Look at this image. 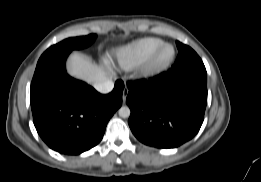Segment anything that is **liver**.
Masks as SVG:
<instances>
[{
  "label": "liver",
  "mask_w": 261,
  "mask_h": 182,
  "mask_svg": "<svg viewBox=\"0 0 261 182\" xmlns=\"http://www.w3.org/2000/svg\"><path fill=\"white\" fill-rule=\"evenodd\" d=\"M68 73L78 79L90 84L106 79V72L102 66L92 63L89 59L79 53H73L67 65Z\"/></svg>",
  "instance_id": "liver-1"
}]
</instances>
